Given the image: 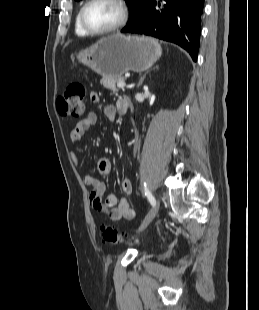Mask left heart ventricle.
I'll list each match as a JSON object with an SVG mask.
<instances>
[{"mask_svg":"<svg viewBox=\"0 0 259 310\" xmlns=\"http://www.w3.org/2000/svg\"><path fill=\"white\" fill-rule=\"evenodd\" d=\"M120 9L111 0H96L85 11L86 23L95 30L111 27L120 19Z\"/></svg>","mask_w":259,"mask_h":310,"instance_id":"1","label":"left heart ventricle"}]
</instances>
